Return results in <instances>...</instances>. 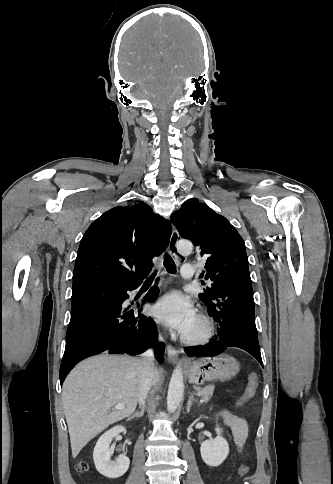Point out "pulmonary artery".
Listing matches in <instances>:
<instances>
[{"label":"pulmonary artery","instance_id":"obj_1","mask_svg":"<svg viewBox=\"0 0 333 484\" xmlns=\"http://www.w3.org/2000/svg\"><path fill=\"white\" fill-rule=\"evenodd\" d=\"M195 270L194 264L186 263L182 266L181 274L184 278H191L195 274Z\"/></svg>","mask_w":333,"mask_h":484}]
</instances>
